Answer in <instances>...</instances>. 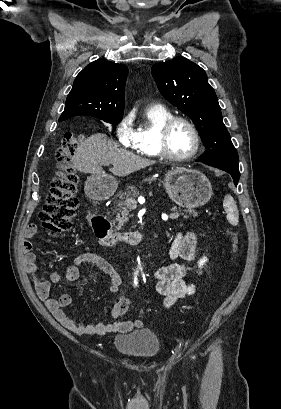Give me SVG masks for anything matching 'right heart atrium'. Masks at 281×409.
Listing matches in <instances>:
<instances>
[{"label":"right heart atrium","mask_w":281,"mask_h":409,"mask_svg":"<svg viewBox=\"0 0 281 409\" xmlns=\"http://www.w3.org/2000/svg\"><path fill=\"white\" fill-rule=\"evenodd\" d=\"M133 119H121L116 125V137L125 147L130 148L133 144L134 131L132 129Z\"/></svg>","instance_id":"right-heart-atrium-1"}]
</instances>
